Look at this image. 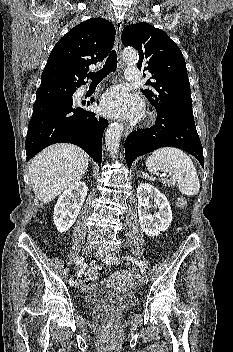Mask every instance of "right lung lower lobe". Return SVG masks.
Wrapping results in <instances>:
<instances>
[{
	"label": "right lung lower lobe",
	"instance_id": "right-lung-lower-lobe-1",
	"mask_svg": "<svg viewBox=\"0 0 233 352\" xmlns=\"http://www.w3.org/2000/svg\"><path fill=\"white\" fill-rule=\"evenodd\" d=\"M93 101L94 98L79 105L73 99L36 102L25 142L27 161L51 144L72 143L100 165L102 137L108 120L81 107Z\"/></svg>",
	"mask_w": 233,
	"mask_h": 352
}]
</instances>
